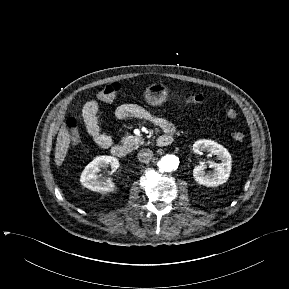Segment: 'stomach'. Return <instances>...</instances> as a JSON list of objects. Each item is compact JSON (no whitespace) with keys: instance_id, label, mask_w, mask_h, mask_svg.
<instances>
[{"instance_id":"0dacf381","label":"stomach","mask_w":289,"mask_h":289,"mask_svg":"<svg viewBox=\"0 0 289 289\" xmlns=\"http://www.w3.org/2000/svg\"><path fill=\"white\" fill-rule=\"evenodd\" d=\"M145 100L152 106L162 105L168 97V88L163 83H154L146 88Z\"/></svg>"}]
</instances>
